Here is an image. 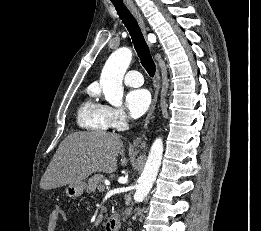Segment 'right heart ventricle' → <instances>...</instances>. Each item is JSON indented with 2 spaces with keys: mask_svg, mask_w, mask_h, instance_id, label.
Instances as JSON below:
<instances>
[{
  "mask_svg": "<svg viewBox=\"0 0 261 231\" xmlns=\"http://www.w3.org/2000/svg\"><path fill=\"white\" fill-rule=\"evenodd\" d=\"M77 124L82 129L106 132L109 129L106 106L97 99V92L89 89V97L77 111Z\"/></svg>",
  "mask_w": 261,
  "mask_h": 231,
  "instance_id": "e07e8e85",
  "label": "right heart ventricle"
}]
</instances>
